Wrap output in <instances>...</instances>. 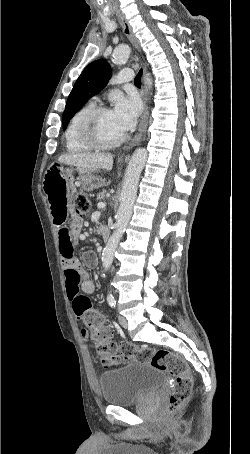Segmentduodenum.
Here are the masks:
<instances>
[{"mask_svg":"<svg viewBox=\"0 0 250 454\" xmlns=\"http://www.w3.org/2000/svg\"><path fill=\"white\" fill-rule=\"evenodd\" d=\"M101 236L105 242H107L110 239V231L109 229L102 227L100 229Z\"/></svg>","mask_w":250,"mask_h":454,"instance_id":"410a0bca","label":"duodenum"}]
</instances>
